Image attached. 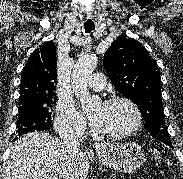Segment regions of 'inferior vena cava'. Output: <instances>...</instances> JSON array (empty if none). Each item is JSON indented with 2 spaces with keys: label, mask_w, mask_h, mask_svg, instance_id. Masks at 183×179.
Listing matches in <instances>:
<instances>
[{
  "label": "inferior vena cava",
  "mask_w": 183,
  "mask_h": 179,
  "mask_svg": "<svg viewBox=\"0 0 183 179\" xmlns=\"http://www.w3.org/2000/svg\"><path fill=\"white\" fill-rule=\"evenodd\" d=\"M63 145L72 156L79 153L80 143L83 140V133L81 130H73L61 136Z\"/></svg>",
  "instance_id": "inferior-vena-cava-1"
}]
</instances>
